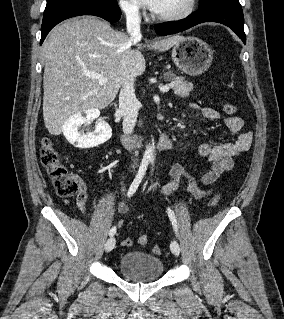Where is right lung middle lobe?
<instances>
[{
	"label": "right lung middle lobe",
	"instance_id": "right-lung-middle-lobe-1",
	"mask_svg": "<svg viewBox=\"0 0 284 319\" xmlns=\"http://www.w3.org/2000/svg\"><path fill=\"white\" fill-rule=\"evenodd\" d=\"M86 4L110 6L117 3L116 0H47L44 14L50 13L63 6Z\"/></svg>",
	"mask_w": 284,
	"mask_h": 319
}]
</instances>
